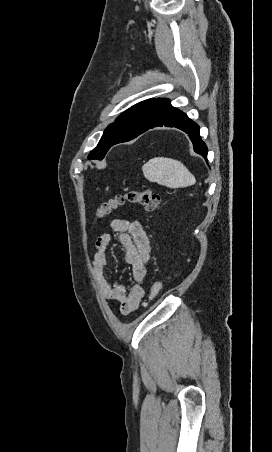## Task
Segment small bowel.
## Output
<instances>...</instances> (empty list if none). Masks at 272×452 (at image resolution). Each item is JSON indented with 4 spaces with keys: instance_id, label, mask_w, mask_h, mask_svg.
<instances>
[{
    "instance_id": "obj_1",
    "label": "small bowel",
    "mask_w": 272,
    "mask_h": 452,
    "mask_svg": "<svg viewBox=\"0 0 272 452\" xmlns=\"http://www.w3.org/2000/svg\"><path fill=\"white\" fill-rule=\"evenodd\" d=\"M111 229L123 246L124 260L131 266L133 285L129 291L119 282H111L107 276V249L111 234L104 233L96 241L92 257V272L101 296L107 301L119 304L120 312L129 315L136 311L142 302L147 278V263L150 257L149 238L138 221L130 218H116Z\"/></svg>"
}]
</instances>
